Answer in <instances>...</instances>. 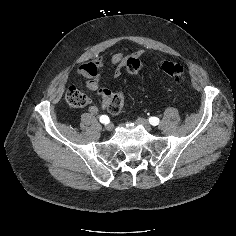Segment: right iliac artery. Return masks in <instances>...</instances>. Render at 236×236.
Wrapping results in <instances>:
<instances>
[{
    "label": "right iliac artery",
    "mask_w": 236,
    "mask_h": 236,
    "mask_svg": "<svg viewBox=\"0 0 236 236\" xmlns=\"http://www.w3.org/2000/svg\"><path fill=\"white\" fill-rule=\"evenodd\" d=\"M99 120L101 123L107 124L109 122V117L107 115H102Z\"/></svg>",
    "instance_id": "obj_1"
}]
</instances>
